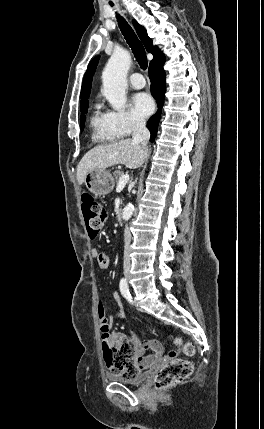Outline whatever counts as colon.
<instances>
[{"label":"colon","instance_id":"1","mask_svg":"<svg viewBox=\"0 0 264 429\" xmlns=\"http://www.w3.org/2000/svg\"><path fill=\"white\" fill-rule=\"evenodd\" d=\"M81 208L89 235L95 237L107 221V211L101 203L88 193H83L81 196ZM98 319L103 334V354L107 367L113 373L123 377H133L138 374L141 370L135 361L133 344L124 333L109 332L108 318L102 305H98ZM175 343L182 347L186 355L194 353L192 344L180 339H175ZM191 373V363L173 355L157 371L154 385L159 390L170 388L187 379Z\"/></svg>","mask_w":264,"mask_h":429}]
</instances>
